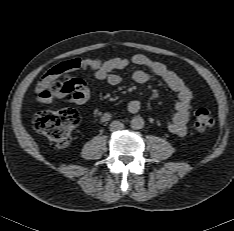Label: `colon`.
Listing matches in <instances>:
<instances>
[{
    "mask_svg": "<svg viewBox=\"0 0 234 231\" xmlns=\"http://www.w3.org/2000/svg\"><path fill=\"white\" fill-rule=\"evenodd\" d=\"M80 63L69 61L60 66L59 75L66 80H59L53 86V91L60 92L67 89L72 80L68 75L74 72ZM79 114L72 109L44 110L36 114L33 120L35 130L46 136L50 144L57 149L67 147L71 142V133L79 124ZM213 118L205 108H199L195 113L194 126L198 132H205L213 126Z\"/></svg>",
    "mask_w": 234,
    "mask_h": 231,
    "instance_id": "colon-1",
    "label": "colon"
}]
</instances>
